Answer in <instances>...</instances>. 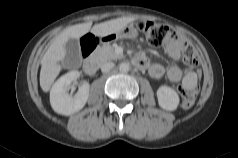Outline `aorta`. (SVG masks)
I'll return each mask as SVG.
<instances>
[{
  "label": "aorta",
  "instance_id": "1",
  "mask_svg": "<svg viewBox=\"0 0 238 158\" xmlns=\"http://www.w3.org/2000/svg\"><path fill=\"white\" fill-rule=\"evenodd\" d=\"M119 70L122 73H127L130 70V64L126 62L120 63Z\"/></svg>",
  "mask_w": 238,
  "mask_h": 158
}]
</instances>
